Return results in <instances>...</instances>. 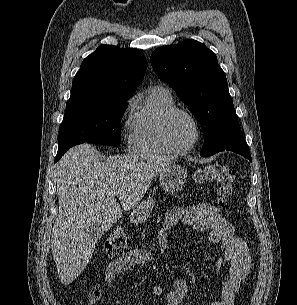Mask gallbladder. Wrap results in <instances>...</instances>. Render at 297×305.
I'll list each match as a JSON object with an SVG mask.
<instances>
[{
	"label": "gallbladder",
	"mask_w": 297,
	"mask_h": 305,
	"mask_svg": "<svg viewBox=\"0 0 297 305\" xmlns=\"http://www.w3.org/2000/svg\"><path fill=\"white\" fill-rule=\"evenodd\" d=\"M104 230L99 224H92L87 232L88 238L97 242L103 236Z\"/></svg>",
	"instance_id": "1"
}]
</instances>
